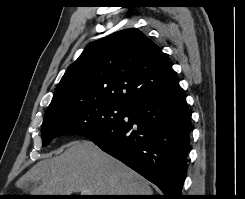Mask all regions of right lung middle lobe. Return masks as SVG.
Masks as SVG:
<instances>
[{"label": "right lung middle lobe", "mask_w": 245, "mask_h": 199, "mask_svg": "<svg viewBox=\"0 0 245 199\" xmlns=\"http://www.w3.org/2000/svg\"><path fill=\"white\" fill-rule=\"evenodd\" d=\"M127 109L111 103H87L72 105L45 116L41 127L43 146L62 135L93 137L121 120Z\"/></svg>", "instance_id": "1"}]
</instances>
